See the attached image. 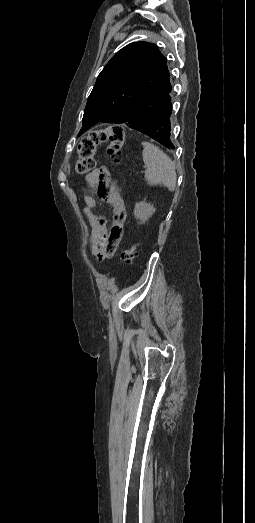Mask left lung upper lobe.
<instances>
[{"label": "left lung upper lobe", "mask_w": 255, "mask_h": 523, "mask_svg": "<svg viewBox=\"0 0 255 523\" xmlns=\"http://www.w3.org/2000/svg\"><path fill=\"white\" fill-rule=\"evenodd\" d=\"M169 77L167 59L155 44H128L99 74L79 135L99 121L125 123L134 129L165 118L172 107ZM171 145L174 149L172 141Z\"/></svg>", "instance_id": "left-lung-upper-lobe-1"}]
</instances>
